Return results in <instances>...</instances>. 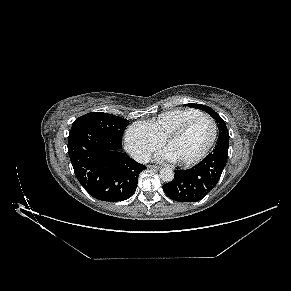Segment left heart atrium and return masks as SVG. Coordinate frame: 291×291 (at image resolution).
Segmentation results:
<instances>
[{"label":"left heart atrium","instance_id":"obj_1","mask_svg":"<svg viewBox=\"0 0 291 291\" xmlns=\"http://www.w3.org/2000/svg\"><path fill=\"white\" fill-rule=\"evenodd\" d=\"M155 158L160 161L168 160V161H175L171 153L166 149L163 151H160L155 155Z\"/></svg>","mask_w":291,"mask_h":291}]
</instances>
